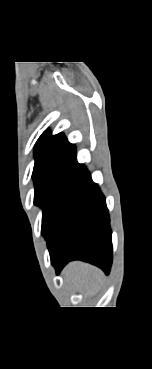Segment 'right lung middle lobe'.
I'll return each mask as SVG.
<instances>
[{"instance_id":"1","label":"right lung middle lobe","mask_w":152,"mask_h":369,"mask_svg":"<svg viewBox=\"0 0 152 369\" xmlns=\"http://www.w3.org/2000/svg\"><path fill=\"white\" fill-rule=\"evenodd\" d=\"M81 165H53L34 169V204L43 210L42 235L46 238L61 199L69 189Z\"/></svg>"}]
</instances>
